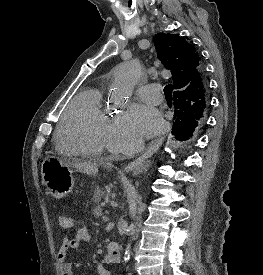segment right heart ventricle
<instances>
[{
    "label": "right heart ventricle",
    "mask_w": 263,
    "mask_h": 275,
    "mask_svg": "<svg viewBox=\"0 0 263 275\" xmlns=\"http://www.w3.org/2000/svg\"><path fill=\"white\" fill-rule=\"evenodd\" d=\"M110 118L100 88L78 93L64 111L55 134L57 150L67 156L93 157L107 146Z\"/></svg>",
    "instance_id": "right-heart-ventricle-1"
}]
</instances>
